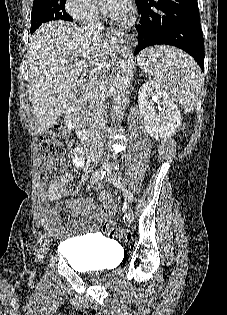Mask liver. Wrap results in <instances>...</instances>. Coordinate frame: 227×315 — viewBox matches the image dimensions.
Wrapping results in <instances>:
<instances>
[{
	"instance_id": "6515ba94",
	"label": "liver",
	"mask_w": 227,
	"mask_h": 315,
	"mask_svg": "<svg viewBox=\"0 0 227 315\" xmlns=\"http://www.w3.org/2000/svg\"><path fill=\"white\" fill-rule=\"evenodd\" d=\"M111 48L83 27L64 21L41 25L27 50L29 97L37 132L42 134L73 104L80 72L76 63L90 68L92 79L110 67Z\"/></svg>"
}]
</instances>
